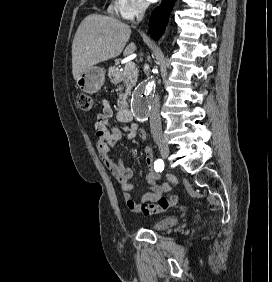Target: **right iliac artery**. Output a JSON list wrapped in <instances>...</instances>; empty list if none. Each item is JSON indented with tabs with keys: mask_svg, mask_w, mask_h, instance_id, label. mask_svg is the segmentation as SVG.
Instances as JSON below:
<instances>
[{
	"mask_svg": "<svg viewBox=\"0 0 272 282\" xmlns=\"http://www.w3.org/2000/svg\"><path fill=\"white\" fill-rule=\"evenodd\" d=\"M154 169L157 171V172H162L164 170V162L162 159H157L155 162H154Z\"/></svg>",
	"mask_w": 272,
	"mask_h": 282,
	"instance_id": "82829eb1",
	"label": "right iliac artery"
}]
</instances>
